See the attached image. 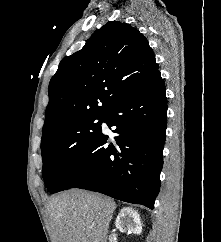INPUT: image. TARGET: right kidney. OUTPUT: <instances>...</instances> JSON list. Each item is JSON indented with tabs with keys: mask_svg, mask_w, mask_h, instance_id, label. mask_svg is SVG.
<instances>
[{
	"mask_svg": "<svg viewBox=\"0 0 221 242\" xmlns=\"http://www.w3.org/2000/svg\"><path fill=\"white\" fill-rule=\"evenodd\" d=\"M115 226L120 232H128L140 235L142 233V223L140 215L131 207H124L118 214Z\"/></svg>",
	"mask_w": 221,
	"mask_h": 242,
	"instance_id": "right-kidney-1",
	"label": "right kidney"
}]
</instances>
